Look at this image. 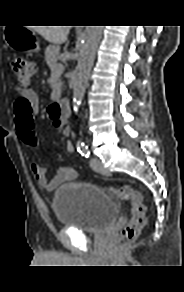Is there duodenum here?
I'll list each match as a JSON object with an SVG mask.
<instances>
[{
  "label": "duodenum",
  "mask_w": 184,
  "mask_h": 292,
  "mask_svg": "<svg viewBox=\"0 0 184 292\" xmlns=\"http://www.w3.org/2000/svg\"><path fill=\"white\" fill-rule=\"evenodd\" d=\"M48 113L58 121H65L70 115L69 103L64 99L56 100L51 104Z\"/></svg>",
  "instance_id": "obj_1"
}]
</instances>
